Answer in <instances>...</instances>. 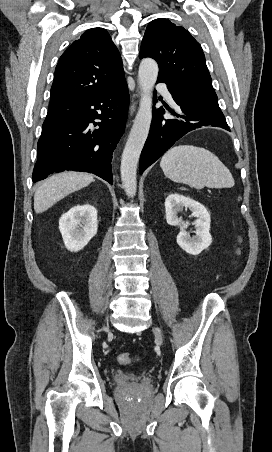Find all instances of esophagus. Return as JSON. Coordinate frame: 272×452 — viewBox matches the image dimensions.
<instances>
[{"label":"esophagus","instance_id":"obj_1","mask_svg":"<svg viewBox=\"0 0 272 452\" xmlns=\"http://www.w3.org/2000/svg\"><path fill=\"white\" fill-rule=\"evenodd\" d=\"M138 95H139V89L137 88V91H136V94H134V97H138ZM135 108H136V102L134 100H132V104L130 106V116L133 115Z\"/></svg>","mask_w":272,"mask_h":452}]
</instances>
